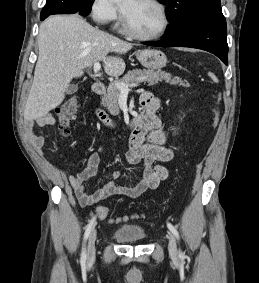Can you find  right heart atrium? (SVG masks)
I'll return each instance as SVG.
<instances>
[{
	"label": "right heart atrium",
	"instance_id": "obj_1",
	"mask_svg": "<svg viewBox=\"0 0 259 283\" xmlns=\"http://www.w3.org/2000/svg\"><path fill=\"white\" fill-rule=\"evenodd\" d=\"M90 13L96 23L108 24L116 19L118 9L112 0H92Z\"/></svg>",
	"mask_w": 259,
	"mask_h": 283
}]
</instances>
